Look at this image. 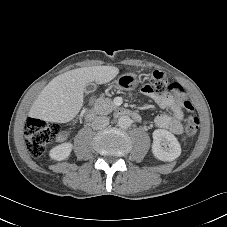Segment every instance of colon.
<instances>
[{
  "mask_svg": "<svg viewBox=\"0 0 227 227\" xmlns=\"http://www.w3.org/2000/svg\"><path fill=\"white\" fill-rule=\"evenodd\" d=\"M148 83H150L152 87L159 89V95H164L169 92L176 93L180 105L188 112H193V105L186 97L182 87L170 82L164 73L160 71L152 72L149 75ZM199 125V119L194 115H190L185 121V135L188 138H193L199 130ZM24 132L29 154L34 158H38L43 155L47 144L61 134V127L56 123L29 118L25 125Z\"/></svg>",
  "mask_w": 227,
  "mask_h": 227,
  "instance_id": "colon-1",
  "label": "colon"
}]
</instances>
